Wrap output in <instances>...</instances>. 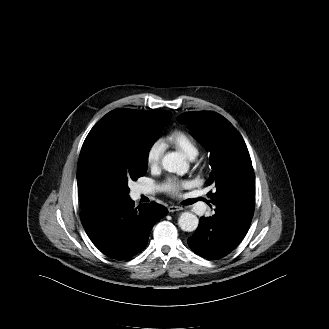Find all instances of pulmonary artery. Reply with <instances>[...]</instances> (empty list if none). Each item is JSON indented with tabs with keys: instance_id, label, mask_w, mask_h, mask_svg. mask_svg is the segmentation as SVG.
Instances as JSON below:
<instances>
[{
	"instance_id": "obj_1",
	"label": "pulmonary artery",
	"mask_w": 329,
	"mask_h": 329,
	"mask_svg": "<svg viewBox=\"0 0 329 329\" xmlns=\"http://www.w3.org/2000/svg\"><path fill=\"white\" fill-rule=\"evenodd\" d=\"M151 192H152V190H151L150 188H148V187L140 186V187L138 188V193H139V194H149V193H151Z\"/></svg>"
}]
</instances>
